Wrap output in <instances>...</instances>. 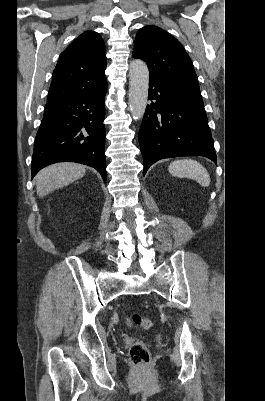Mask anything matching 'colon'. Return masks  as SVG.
Here are the masks:
<instances>
[{"instance_id": "obj_1", "label": "colon", "mask_w": 265, "mask_h": 401, "mask_svg": "<svg viewBox=\"0 0 265 401\" xmlns=\"http://www.w3.org/2000/svg\"><path fill=\"white\" fill-rule=\"evenodd\" d=\"M131 324L142 329H150L152 322L142 317L138 313H133L130 318ZM129 357L131 362L140 370L145 369L150 362V350L146 342L139 341L134 343L129 350Z\"/></svg>"}]
</instances>
